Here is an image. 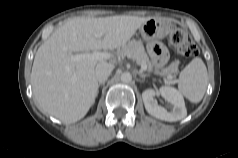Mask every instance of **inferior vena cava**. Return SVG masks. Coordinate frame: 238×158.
I'll return each mask as SVG.
<instances>
[{
  "label": "inferior vena cava",
  "mask_w": 238,
  "mask_h": 158,
  "mask_svg": "<svg viewBox=\"0 0 238 158\" xmlns=\"http://www.w3.org/2000/svg\"><path fill=\"white\" fill-rule=\"evenodd\" d=\"M112 72V66L108 63H99L96 66L95 69V75L97 81L101 83H105V81L108 79L109 75Z\"/></svg>",
  "instance_id": "obj_1"
}]
</instances>
